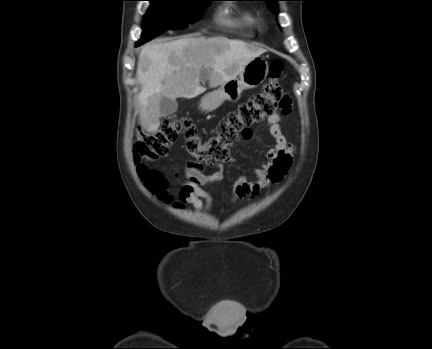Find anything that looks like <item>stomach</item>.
Instances as JSON below:
<instances>
[{"label":"stomach","mask_w":432,"mask_h":349,"mask_svg":"<svg viewBox=\"0 0 432 349\" xmlns=\"http://www.w3.org/2000/svg\"><path fill=\"white\" fill-rule=\"evenodd\" d=\"M269 73L268 62L263 57L252 59L238 77L224 83L217 90L205 94L199 103L202 111L211 112L224 101H238L243 90L252 89L264 82Z\"/></svg>","instance_id":"obj_1"}]
</instances>
